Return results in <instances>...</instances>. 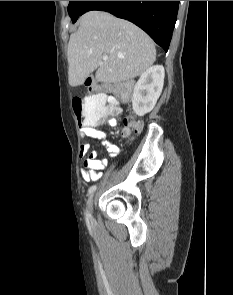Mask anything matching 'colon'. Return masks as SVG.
I'll list each match as a JSON object with an SVG mask.
<instances>
[{
	"label": "colon",
	"mask_w": 233,
	"mask_h": 295,
	"mask_svg": "<svg viewBox=\"0 0 233 295\" xmlns=\"http://www.w3.org/2000/svg\"><path fill=\"white\" fill-rule=\"evenodd\" d=\"M135 85L133 81L114 84H97L89 81L87 83L90 90L89 96L85 99L74 98L72 102L73 110L79 124H94L108 115L117 114L119 110L116 107L115 99L108 94L129 97L133 93ZM124 124L125 129L123 134L126 137H129L132 133H136L141 128V123L132 116L125 118Z\"/></svg>",
	"instance_id": "5ec220e1"
}]
</instances>
